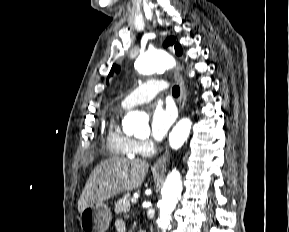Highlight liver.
Returning a JSON list of instances; mask_svg holds the SVG:
<instances>
[{
	"label": "liver",
	"mask_w": 289,
	"mask_h": 232,
	"mask_svg": "<svg viewBox=\"0 0 289 232\" xmlns=\"http://www.w3.org/2000/svg\"><path fill=\"white\" fill-rule=\"evenodd\" d=\"M149 164L139 159L110 158L91 172L78 201L81 213L91 204L102 203L110 197L139 188Z\"/></svg>",
	"instance_id": "1"
}]
</instances>
